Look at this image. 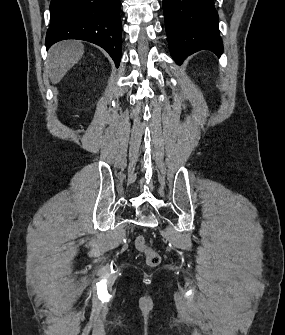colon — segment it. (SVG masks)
Wrapping results in <instances>:
<instances>
[{
	"label": "colon",
	"instance_id": "5ec220e1",
	"mask_svg": "<svg viewBox=\"0 0 285 335\" xmlns=\"http://www.w3.org/2000/svg\"><path fill=\"white\" fill-rule=\"evenodd\" d=\"M135 247L145 256V262L148 266H157L161 261V256L157 250L150 247L144 236L139 235L135 238Z\"/></svg>",
	"mask_w": 285,
	"mask_h": 335
}]
</instances>
